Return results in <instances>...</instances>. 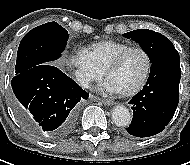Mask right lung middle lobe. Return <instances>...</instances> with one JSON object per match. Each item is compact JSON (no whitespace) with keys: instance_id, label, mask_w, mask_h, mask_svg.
Instances as JSON below:
<instances>
[{"instance_id":"right-lung-middle-lobe-1","label":"right lung middle lobe","mask_w":190,"mask_h":165,"mask_svg":"<svg viewBox=\"0 0 190 165\" xmlns=\"http://www.w3.org/2000/svg\"><path fill=\"white\" fill-rule=\"evenodd\" d=\"M68 38V32L57 22H49L29 31L18 48L16 75L58 59Z\"/></svg>"}]
</instances>
